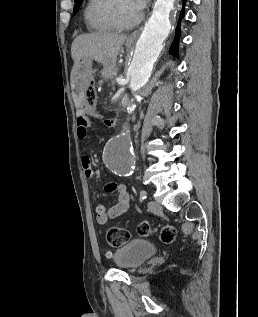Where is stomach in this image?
Segmentation results:
<instances>
[{
	"label": "stomach",
	"mask_w": 258,
	"mask_h": 317,
	"mask_svg": "<svg viewBox=\"0 0 258 317\" xmlns=\"http://www.w3.org/2000/svg\"><path fill=\"white\" fill-rule=\"evenodd\" d=\"M132 44V40L127 38L125 46H127V48H132ZM92 64L93 60L92 58H88V56H82L80 60H77L76 64H74V82H76V84H78L81 74L93 72Z\"/></svg>",
	"instance_id": "0dacf381"
}]
</instances>
